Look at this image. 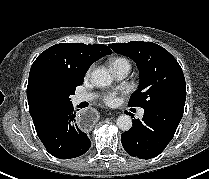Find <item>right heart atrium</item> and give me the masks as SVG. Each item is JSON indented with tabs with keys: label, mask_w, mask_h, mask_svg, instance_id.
Returning a JSON list of instances; mask_svg holds the SVG:
<instances>
[{
	"label": "right heart atrium",
	"mask_w": 209,
	"mask_h": 179,
	"mask_svg": "<svg viewBox=\"0 0 209 179\" xmlns=\"http://www.w3.org/2000/svg\"><path fill=\"white\" fill-rule=\"evenodd\" d=\"M90 71H91V68H89V70H88V72H87V73H90Z\"/></svg>",
	"instance_id": "right-heart-atrium-1"
}]
</instances>
